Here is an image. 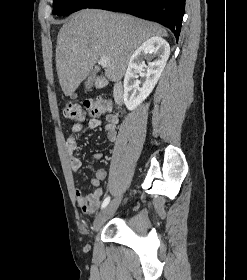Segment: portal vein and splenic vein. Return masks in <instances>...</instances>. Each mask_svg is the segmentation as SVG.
I'll list each match as a JSON object with an SVG mask.
<instances>
[{
    "instance_id": "obj_1",
    "label": "portal vein and splenic vein",
    "mask_w": 247,
    "mask_h": 280,
    "mask_svg": "<svg viewBox=\"0 0 247 280\" xmlns=\"http://www.w3.org/2000/svg\"><path fill=\"white\" fill-rule=\"evenodd\" d=\"M99 64L103 67H106L109 64V58L108 57H101L99 60Z\"/></svg>"
}]
</instances>
